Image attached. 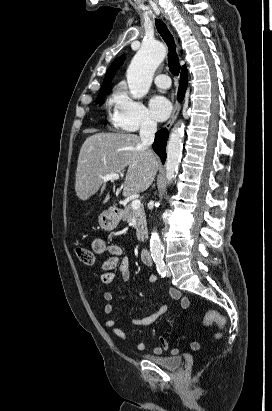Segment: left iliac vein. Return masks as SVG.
Wrapping results in <instances>:
<instances>
[{
	"label": "left iliac vein",
	"instance_id": "4c4485c4",
	"mask_svg": "<svg viewBox=\"0 0 272 411\" xmlns=\"http://www.w3.org/2000/svg\"><path fill=\"white\" fill-rule=\"evenodd\" d=\"M165 271H166V276L170 277L171 276V271L168 266H165Z\"/></svg>",
	"mask_w": 272,
	"mask_h": 411
}]
</instances>
